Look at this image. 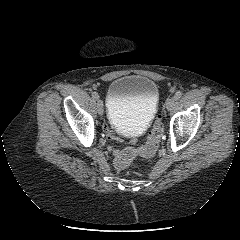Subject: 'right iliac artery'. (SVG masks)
I'll list each match as a JSON object with an SVG mask.
<instances>
[{
  "label": "right iliac artery",
  "mask_w": 240,
  "mask_h": 240,
  "mask_svg": "<svg viewBox=\"0 0 240 240\" xmlns=\"http://www.w3.org/2000/svg\"><path fill=\"white\" fill-rule=\"evenodd\" d=\"M92 97L96 100L99 99V95L97 92L92 93Z\"/></svg>",
  "instance_id": "right-iliac-artery-1"
}]
</instances>
